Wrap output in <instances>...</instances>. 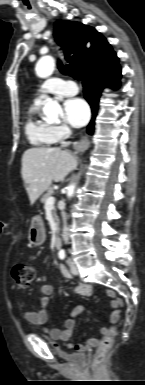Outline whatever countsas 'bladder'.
Segmentation results:
<instances>
[{
    "label": "bladder",
    "mask_w": 145,
    "mask_h": 385,
    "mask_svg": "<svg viewBox=\"0 0 145 385\" xmlns=\"http://www.w3.org/2000/svg\"><path fill=\"white\" fill-rule=\"evenodd\" d=\"M71 357H74L77 362H84L86 359V356L83 354L72 355Z\"/></svg>",
    "instance_id": "bladder-1"
}]
</instances>
